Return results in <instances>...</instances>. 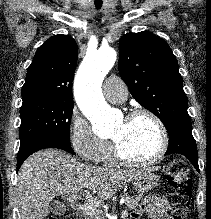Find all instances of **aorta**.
<instances>
[{
	"label": "aorta",
	"instance_id": "obj_1",
	"mask_svg": "<svg viewBox=\"0 0 211 219\" xmlns=\"http://www.w3.org/2000/svg\"><path fill=\"white\" fill-rule=\"evenodd\" d=\"M116 58L117 53L111 47L88 52L75 77L74 94L77 104L99 137L111 136L118 120L101 92L102 81Z\"/></svg>",
	"mask_w": 211,
	"mask_h": 219
}]
</instances>
